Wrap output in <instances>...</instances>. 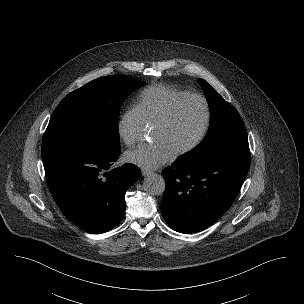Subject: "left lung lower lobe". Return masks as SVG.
<instances>
[{
	"label": "left lung lower lobe",
	"instance_id": "1",
	"mask_svg": "<svg viewBox=\"0 0 304 304\" xmlns=\"http://www.w3.org/2000/svg\"><path fill=\"white\" fill-rule=\"evenodd\" d=\"M250 167V155L227 153L190 165L179 159L163 171L161 211L180 233L199 232L233 204Z\"/></svg>",
	"mask_w": 304,
	"mask_h": 304
}]
</instances>
